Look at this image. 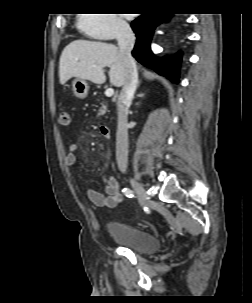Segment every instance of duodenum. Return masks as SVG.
<instances>
[{
	"instance_id": "obj_1",
	"label": "duodenum",
	"mask_w": 252,
	"mask_h": 303,
	"mask_svg": "<svg viewBox=\"0 0 252 303\" xmlns=\"http://www.w3.org/2000/svg\"><path fill=\"white\" fill-rule=\"evenodd\" d=\"M99 129H100V133H101L102 137H104V138L110 137V128L108 125L102 124V125H100Z\"/></svg>"
}]
</instances>
